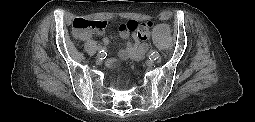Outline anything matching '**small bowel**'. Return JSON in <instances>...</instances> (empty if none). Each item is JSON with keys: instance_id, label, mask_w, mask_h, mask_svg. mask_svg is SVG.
<instances>
[{"instance_id": "obj_1", "label": "small bowel", "mask_w": 255, "mask_h": 122, "mask_svg": "<svg viewBox=\"0 0 255 122\" xmlns=\"http://www.w3.org/2000/svg\"><path fill=\"white\" fill-rule=\"evenodd\" d=\"M102 34L103 33L100 32V31H93V30L88 31L84 34L83 39H85V38H90L91 39L96 35H102ZM129 34H130V31H128L126 29L125 25H121L120 30H119L120 37L121 38H127L129 36ZM148 37L149 36H147L145 39L142 40V39L139 38L138 33L134 32L133 33L134 42L127 43L124 48L119 50L118 55L120 57V60H124V59H128V58H132L134 60L140 59L148 49V43H147ZM103 43L105 45L109 44V38L107 36L103 37ZM119 62L120 61H118V60H110L108 62V65L110 67H116V66L119 65Z\"/></svg>"}]
</instances>
